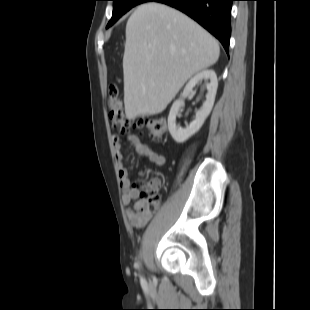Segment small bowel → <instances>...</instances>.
<instances>
[{
	"instance_id": "1",
	"label": "small bowel",
	"mask_w": 310,
	"mask_h": 310,
	"mask_svg": "<svg viewBox=\"0 0 310 310\" xmlns=\"http://www.w3.org/2000/svg\"><path fill=\"white\" fill-rule=\"evenodd\" d=\"M127 140L132 144L137 154L147 158L158 166L164 165L165 157L153 151L148 144L143 143L137 136L128 135ZM112 142L116 162L119 168L118 174L120 187L123 190L122 202L125 206L127 219L133 227L142 228L151 220L154 211L150 209V207L143 199H138L139 192L137 189L132 187L130 174L124 165L121 148V137L118 135L113 136Z\"/></svg>"
}]
</instances>
